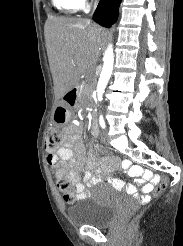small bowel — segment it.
<instances>
[{"instance_id":"1","label":"small bowel","mask_w":183,"mask_h":246,"mask_svg":"<svg viewBox=\"0 0 183 246\" xmlns=\"http://www.w3.org/2000/svg\"><path fill=\"white\" fill-rule=\"evenodd\" d=\"M91 132L94 136L98 135L99 130L96 124L92 125ZM66 133V141L56 151L49 152L47 162L51 166L59 164L60 167L67 170V177L75 182L78 200L88 196V187L101 182L109 183L115 189L130 195L137 194L138 189L145 195L151 192L152 186L146 184L145 179H150V182H161L160 174H152L151 170H144V167H133V162L126 159L120 162V167L131 175L134 184H125L120 179L112 178L108 168L104 172L97 171L93 175L92 170L97 166L96 150L87 152L79 132L75 129L69 128ZM79 171H82L81 180L78 177Z\"/></svg>"}]
</instances>
